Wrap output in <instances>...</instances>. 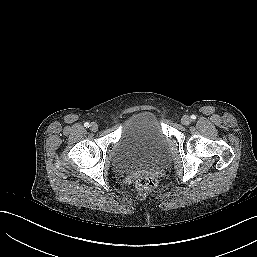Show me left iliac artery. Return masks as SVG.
<instances>
[{
    "label": "left iliac artery",
    "instance_id": "44dca946",
    "mask_svg": "<svg viewBox=\"0 0 257 257\" xmlns=\"http://www.w3.org/2000/svg\"><path fill=\"white\" fill-rule=\"evenodd\" d=\"M191 118H192V120H195V119H196V116H195V115H192Z\"/></svg>",
    "mask_w": 257,
    "mask_h": 257
}]
</instances>
